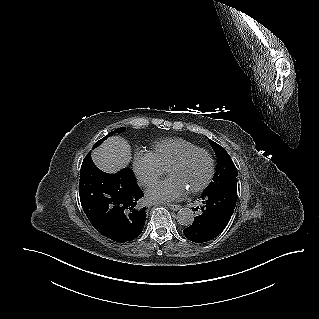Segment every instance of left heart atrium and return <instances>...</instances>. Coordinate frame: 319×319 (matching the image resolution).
Masks as SVG:
<instances>
[{
  "instance_id": "1",
  "label": "left heart atrium",
  "mask_w": 319,
  "mask_h": 319,
  "mask_svg": "<svg viewBox=\"0 0 319 319\" xmlns=\"http://www.w3.org/2000/svg\"><path fill=\"white\" fill-rule=\"evenodd\" d=\"M186 192L187 188L181 181L169 177L151 186L146 198L149 202H169L180 199Z\"/></svg>"
}]
</instances>
